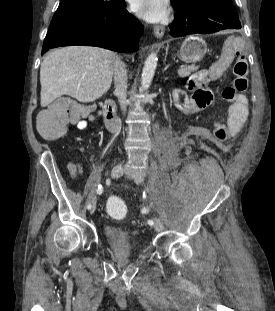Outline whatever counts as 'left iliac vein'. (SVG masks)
I'll return each mask as SVG.
<instances>
[{"mask_svg": "<svg viewBox=\"0 0 275 311\" xmlns=\"http://www.w3.org/2000/svg\"><path fill=\"white\" fill-rule=\"evenodd\" d=\"M133 178L137 184H141L143 182V176L141 174H135L133 175ZM154 228L156 231L163 230V224L160 219L154 218Z\"/></svg>", "mask_w": 275, "mask_h": 311, "instance_id": "1", "label": "left iliac vein"}]
</instances>
